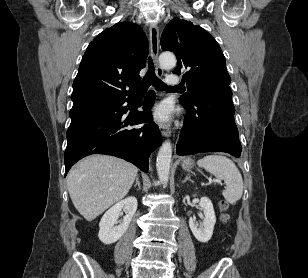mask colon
Segmentation results:
<instances>
[{"instance_id": "colon-1", "label": "colon", "mask_w": 308, "mask_h": 278, "mask_svg": "<svg viewBox=\"0 0 308 278\" xmlns=\"http://www.w3.org/2000/svg\"><path fill=\"white\" fill-rule=\"evenodd\" d=\"M228 205L225 202H222L221 204V208L225 211L227 209ZM223 221H227L228 220V215L227 214H223L222 216Z\"/></svg>"}]
</instances>
